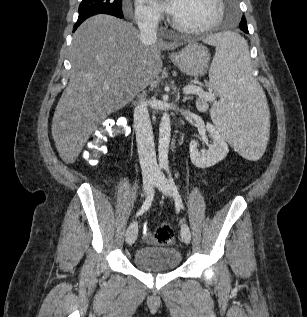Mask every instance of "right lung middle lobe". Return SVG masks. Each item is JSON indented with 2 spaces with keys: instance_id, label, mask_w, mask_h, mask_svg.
<instances>
[{
  "instance_id": "1",
  "label": "right lung middle lobe",
  "mask_w": 307,
  "mask_h": 317,
  "mask_svg": "<svg viewBox=\"0 0 307 317\" xmlns=\"http://www.w3.org/2000/svg\"><path fill=\"white\" fill-rule=\"evenodd\" d=\"M94 14H109L122 17V0H82L79 6V17Z\"/></svg>"
}]
</instances>
